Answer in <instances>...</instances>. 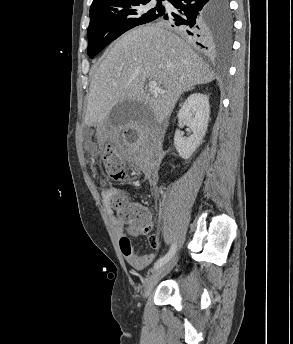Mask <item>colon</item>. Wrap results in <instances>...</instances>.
Instances as JSON below:
<instances>
[{
    "instance_id": "5ec220e1",
    "label": "colon",
    "mask_w": 293,
    "mask_h": 344,
    "mask_svg": "<svg viewBox=\"0 0 293 344\" xmlns=\"http://www.w3.org/2000/svg\"><path fill=\"white\" fill-rule=\"evenodd\" d=\"M128 137L131 140H135V132H129ZM102 161L106 172L113 179L124 180L128 177L129 173L125 162L113 149L105 148L103 150ZM110 203L116 211L117 217L125 226L141 234H149L151 232L148 212L144 207L130 202L123 193L115 194L111 198Z\"/></svg>"
}]
</instances>
